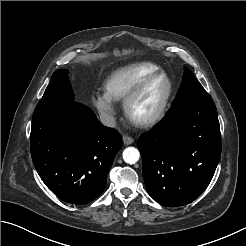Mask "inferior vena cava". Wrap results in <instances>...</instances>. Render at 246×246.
Returning a JSON list of instances; mask_svg holds the SVG:
<instances>
[{
  "instance_id": "inferior-vena-cava-1",
  "label": "inferior vena cava",
  "mask_w": 246,
  "mask_h": 246,
  "mask_svg": "<svg viewBox=\"0 0 246 246\" xmlns=\"http://www.w3.org/2000/svg\"><path fill=\"white\" fill-rule=\"evenodd\" d=\"M100 122L107 127H115L116 121L112 115L103 113L100 115Z\"/></svg>"
}]
</instances>
